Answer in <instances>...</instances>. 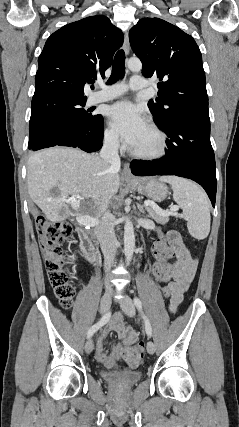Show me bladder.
<instances>
[{"label": "bladder", "mask_w": 239, "mask_h": 427, "mask_svg": "<svg viewBox=\"0 0 239 427\" xmlns=\"http://www.w3.org/2000/svg\"><path fill=\"white\" fill-rule=\"evenodd\" d=\"M101 377L110 384L127 387L138 382L142 373L138 370L115 369L113 371H102Z\"/></svg>", "instance_id": "obj_1"}]
</instances>
